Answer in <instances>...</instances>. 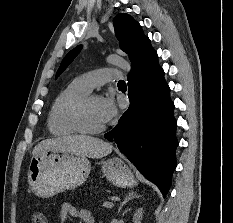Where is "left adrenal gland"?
Instances as JSON below:
<instances>
[{
	"mask_svg": "<svg viewBox=\"0 0 233 223\" xmlns=\"http://www.w3.org/2000/svg\"><path fill=\"white\" fill-rule=\"evenodd\" d=\"M133 197H141V195H138V193H134V191H129V193H128V195H126L125 199H123V201H121L117 213H120V209H122L123 205H125V203H127V201H129V199H133Z\"/></svg>",
	"mask_w": 233,
	"mask_h": 223,
	"instance_id": "1",
	"label": "left adrenal gland"
}]
</instances>
